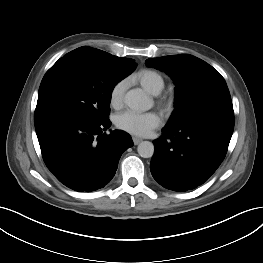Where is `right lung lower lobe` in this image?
Returning <instances> with one entry per match:
<instances>
[{
	"label": "right lung lower lobe",
	"mask_w": 263,
	"mask_h": 263,
	"mask_svg": "<svg viewBox=\"0 0 263 263\" xmlns=\"http://www.w3.org/2000/svg\"><path fill=\"white\" fill-rule=\"evenodd\" d=\"M109 119L85 121L53 117L35 123L42 156L48 169L65 186L91 192L108 184L118 162L133 146L130 135L121 130L106 131Z\"/></svg>",
	"instance_id": "obj_1"
}]
</instances>
